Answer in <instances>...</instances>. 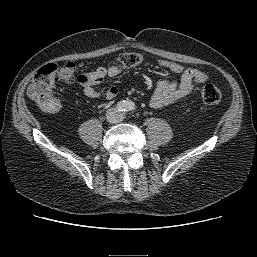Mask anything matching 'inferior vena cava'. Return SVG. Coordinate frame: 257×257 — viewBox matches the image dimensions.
<instances>
[{
    "label": "inferior vena cava",
    "instance_id": "inferior-vena-cava-1",
    "mask_svg": "<svg viewBox=\"0 0 257 257\" xmlns=\"http://www.w3.org/2000/svg\"><path fill=\"white\" fill-rule=\"evenodd\" d=\"M106 118L110 123H119L123 120V114L116 108H110L106 112Z\"/></svg>",
    "mask_w": 257,
    "mask_h": 257
}]
</instances>
